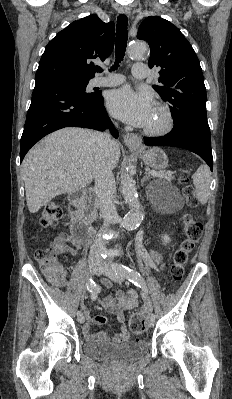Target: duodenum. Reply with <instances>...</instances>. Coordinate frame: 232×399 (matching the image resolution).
<instances>
[{
	"label": "duodenum",
	"mask_w": 232,
	"mask_h": 399,
	"mask_svg": "<svg viewBox=\"0 0 232 399\" xmlns=\"http://www.w3.org/2000/svg\"><path fill=\"white\" fill-rule=\"evenodd\" d=\"M85 191L76 190L69 196V213L71 234L81 243L88 242L93 234L91 223L83 216Z\"/></svg>",
	"instance_id": "410a0bca"
}]
</instances>
